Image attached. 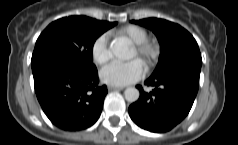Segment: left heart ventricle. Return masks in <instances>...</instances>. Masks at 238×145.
I'll return each instance as SVG.
<instances>
[{
	"instance_id": "obj_1",
	"label": "left heart ventricle",
	"mask_w": 238,
	"mask_h": 145,
	"mask_svg": "<svg viewBox=\"0 0 238 145\" xmlns=\"http://www.w3.org/2000/svg\"><path fill=\"white\" fill-rule=\"evenodd\" d=\"M135 56H136V53H135L134 49H132V50H131L130 57L132 58V57H135Z\"/></svg>"
}]
</instances>
